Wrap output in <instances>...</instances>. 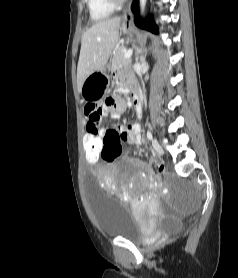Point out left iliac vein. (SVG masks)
I'll return each mask as SVG.
<instances>
[{
    "label": "left iliac vein",
    "instance_id": "4c4485c4",
    "mask_svg": "<svg viewBox=\"0 0 238 278\" xmlns=\"http://www.w3.org/2000/svg\"><path fill=\"white\" fill-rule=\"evenodd\" d=\"M152 146L158 154L162 155L164 153L162 146L156 139L152 140Z\"/></svg>",
    "mask_w": 238,
    "mask_h": 278
}]
</instances>
